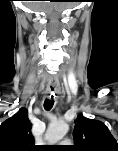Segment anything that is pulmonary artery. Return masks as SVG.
Returning a JSON list of instances; mask_svg holds the SVG:
<instances>
[{
	"label": "pulmonary artery",
	"mask_w": 118,
	"mask_h": 151,
	"mask_svg": "<svg viewBox=\"0 0 118 151\" xmlns=\"http://www.w3.org/2000/svg\"><path fill=\"white\" fill-rule=\"evenodd\" d=\"M62 144H70L71 143V141L70 140H64L63 142H61Z\"/></svg>",
	"instance_id": "e3ab8cb5"
}]
</instances>
